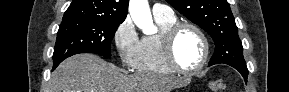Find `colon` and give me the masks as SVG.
Masks as SVG:
<instances>
[{"label":"colon","mask_w":289,"mask_h":92,"mask_svg":"<svg viewBox=\"0 0 289 92\" xmlns=\"http://www.w3.org/2000/svg\"><path fill=\"white\" fill-rule=\"evenodd\" d=\"M209 88L211 91H214V92H222L226 90V83L224 80L218 79V80L210 82Z\"/></svg>","instance_id":"colon-1"}]
</instances>
